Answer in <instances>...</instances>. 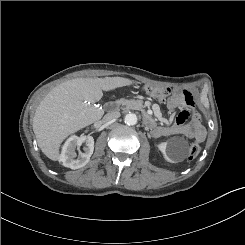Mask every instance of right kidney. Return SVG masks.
<instances>
[{
  "label": "right kidney",
  "instance_id": "obj_1",
  "mask_svg": "<svg viewBox=\"0 0 245 245\" xmlns=\"http://www.w3.org/2000/svg\"><path fill=\"white\" fill-rule=\"evenodd\" d=\"M83 146L84 153L80 152V147ZM76 148L80 152L77 157ZM94 151V139L92 136H71L64 144L59 161L63 166L71 169H79L85 166Z\"/></svg>",
  "mask_w": 245,
  "mask_h": 245
}]
</instances>
